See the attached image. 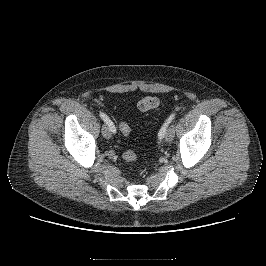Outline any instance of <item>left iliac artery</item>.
Masks as SVG:
<instances>
[{
    "instance_id": "obj_1",
    "label": "left iliac artery",
    "mask_w": 266,
    "mask_h": 266,
    "mask_svg": "<svg viewBox=\"0 0 266 266\" xmlns=\"http://www.w3.org/2000/svg\"><path fill=\"white\" fill-rule=\"evenodd\" d=\"M176 113H172L165 121V123L163 124V126L161 127L158 136L160 139H162L165 136V132L167 127L169 126V124L173 121V119L175 118Z\"/></svg>"
}]
</instances>
